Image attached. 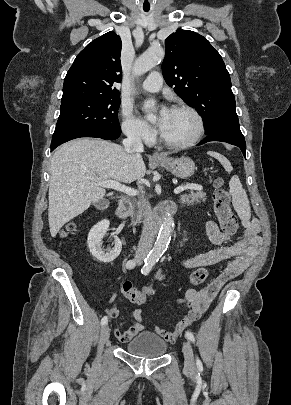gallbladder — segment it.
Listing matches in <instances>:
<instances>
[{"label":"gallbladder","mask_w":291,"mask_h":405,"mask_svg":"<svg viewBox=\"0 0 291 405\" xmlns=\"http://www.w3.org/2000/svg\"><path fill=\"white\" fill-rule=\"evenodd\" d=\"M95 206L97 208L104 209L108 206V201L107 200L99 201L98 203L95 204Z\"/></svg>","instance_id":"1"}]
</instances>
